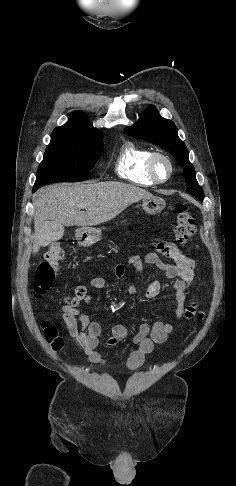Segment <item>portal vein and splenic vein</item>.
<instances>
[{
	"label": "portal vein and splenic vein",
	"instance_id": "18ae733b",
	"mask_svg": "<svg viewBox=\"0 0 236 486\" xmlns=\"http://www.w3.org/2000/svg\"><path fill=\"white\" fill-rule=\"evenodd\" d=\"M84 207L83 206H79V209H83Z\"/></svg>",
	"mask_w": 236,
	"mask_h": 486
}]
</instances>
